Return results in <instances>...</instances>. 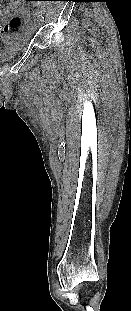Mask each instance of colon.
Segmentation results:
<instances>
[{"mask_svg":"<svg viewBox=\"0 0 131 311\" xmlns=\"http://www.w3.org/2000/svg\"><path fill=\"white\" fill-rule=\"evenodd\" d=\"M20 25H21V22H20V20H18V19L12 21V23H11V26H12L13 28H19Z\"/></svg>","mask_w":131,"mask_h":311,"instance_id":"colon-1","label":"colon"}]
</instances>
